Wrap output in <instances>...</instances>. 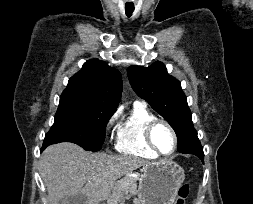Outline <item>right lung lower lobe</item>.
Here are the masks:
<instances>
[{"label":"right lung lower lobe","instance_id":"98d812e1","mask_svg":"<svg viewBox=\"0 0 253 204\" xmlns=\"http://www.w3.org/2000/svg\"><path fill=\"white\" fill-rule=\"evenodd\" d=\"M47 146H49L48 143H43V147L41 148V152H42Z\"/></svg>","mask_w":253,"mask_h":204}]
</instances>
